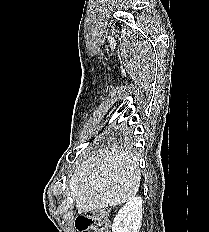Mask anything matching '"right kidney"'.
Returning a JSON list of instances; mask_svg holds the SVG:
<instances>
[{"label": "right kidney", "mask_w": 209, "mask_h": 232, "mask_svg": "<svg viewBox=\"0 0 209 232\" xmlns=\"http://www.w3.org/2000/svg\"><path fill=\"white\" fill-rule=\"evenodd\" d=\"M141 197L130 199L117 213L112 224V232H139L142 220Z\"/></svg>", "instance_id": "obj_1"}]
</instances>
